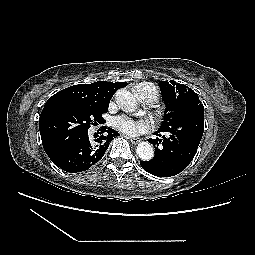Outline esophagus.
Returning a JSON list of instances; mask_svg holds the SVG:
<instances>
[{
  "label": "esophagus",
  "instance_id": "1",
  "mask_svg": "<svg viewBox=\"0 0 255 255\" xmlns=\"http://www.w3.org/2000/svg\"><path fill=\"white\" fill-rule=\"evenodd\" d=\"M126 138L129 139L133 144L140 142L139 138L130 137V136H126Z\"/></svg>",
  "mask_w": 255,
  "mask_h": 255
}]
</instances>
